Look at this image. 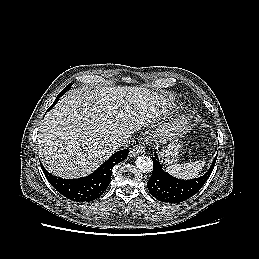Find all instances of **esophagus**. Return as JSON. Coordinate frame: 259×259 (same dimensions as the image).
<instances>
[{
	"label": "esophagus",
	"instance_id": "obj_1",
	"mask_svg": "<svg viewBox=\"0 0 259 259\" xmlns=\"http://www.w3.org/2000/svg\"><path fill=\"white\" fill-rule=\"evenodd\" d=\"M143 153H145V147L141 144L135 145L130 151L131 156H138Z\"/></svg>",
	"mask_w": 259,
	"mask_h": 259
}]
</instances>
